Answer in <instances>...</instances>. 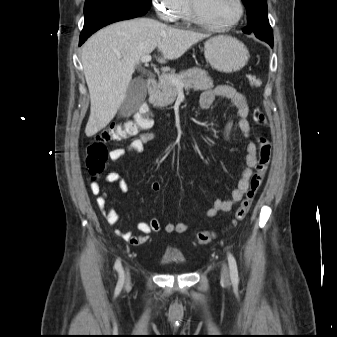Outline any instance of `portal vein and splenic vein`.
Segmentation results:
<instances>
[{"label":"portal vein and splenic vein","instance_id":"portal-vein-and-splenic-vein-1","mask_svg":"<svg viewBox=\"0 0 337 337\" xmlns=\"http://www.w3.org/2000/svg\"><path fill=\"white\" fill-rule=\"evenodd\" d=\"M149 61H151V56H150V55H145V56L141 57V62L147 63V62H149ZM165 76L168 77V78L170 79V81H171L174 85L177 86L179 92H182V91H183V84H182V83H180L178 80L172 78L171 76H168V75H165Z\"/></svg>","mask_w":337,"mask_h":337}]
</instances>
